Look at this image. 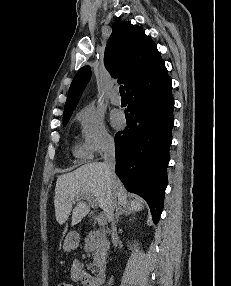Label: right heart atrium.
Masks as SVG:
<instances>
[{
	"label": "right heart atrium",
	"instance_id": "obj_1",
	"mask_svg": "<svg viewBox=\"0 0 231 286\" xmlns=\"http://www.w3.org/2000/svg\"><path fill=\"white\" fill-rule=\"evenodd\" d=\"M83 145L91 155H98L114 145L112 136L107 131L103 115L95 108L87 106L77 114Z\"/></svg>",
	"mask_w": 231,
	"mask_h": 286
}]
</instances>
